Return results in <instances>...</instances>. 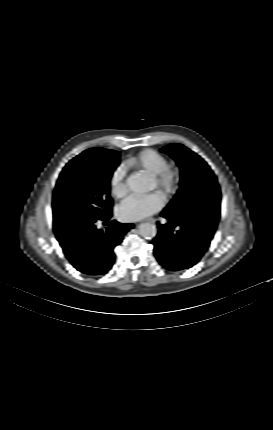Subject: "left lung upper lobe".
<instances>
[{
	"label": "left lung upper lobe",
	"instance_id": "left-lung-upper-lobe-1",
	"mask_svg": "<svg viewBox=\"0 0 273 430\" xmlns=\"http://www.w3.org/2000/svg\"><path fill=\"white\" fill-rule=\"evenodd\" d=\"M161 151L174 158L181 169L180 188L167 210L186 215L204 196L221 199L216 176L200 156L181 144H170Z\"/></svg>",
	"mask_w": 273,
	"mask_h": 430
}]
</instances>
